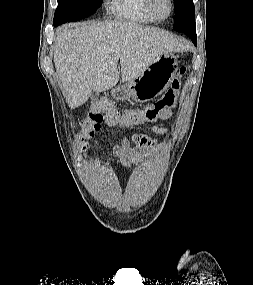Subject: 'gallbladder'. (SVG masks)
I'll list each match as a JSON object with an SVG mask.
<instances>
[{"label": "gallbladder", "mask_w": 253, "mask_h": 285, "mask_svg": "<svg viewBox=\"0 0 253 285\" xmlns=\"http://www.w3.org/2000/svg\"><path fill=\"white\" fill-rule=\"evenodd\" d=\"M97 96H98V93L95 90L91 89L90 97L94 99V98H97Z\"/></svg>", "instance_id": "gallbladder-1"}]
</instances>
